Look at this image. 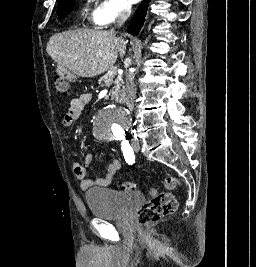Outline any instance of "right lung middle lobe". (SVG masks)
Segmentation results:
<instances>
[{"label":"right lung middle lobe","mask_w":256,"mask_h":267,"mask_svg":"<svg viewBox=\"0 0 256 267\" xmlns=\"http://www.w3.org/2000/svg\"><path fill=\"white\" fill-rule=\"evenodd\" d=\"M75 5V0H63L59 2L57 15L60 19L69 14Z\"/></svg>","instance_id":"1"}]
</instances>
